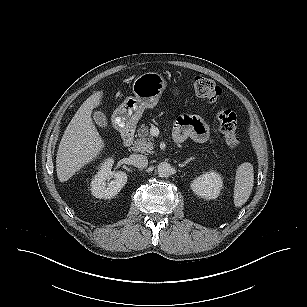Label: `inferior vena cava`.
<instances>
[{"label":"inferior vena cava","mask_w":307,"mask_h":307,"mask_svg":"<svg viewBox=\"0 0 307 307\" xmlns=\"http://www.w3.org/2000/svg\"><path fill=\"white\" fill-rule=\"evenodd\" d=\"M129 160L133 166L138 167L140 169H143L148 165L147 157L142 154H132L130 155Z\"/></svg>","instance_id":"602c4592"}]
</instances>
